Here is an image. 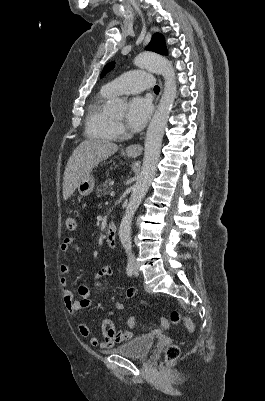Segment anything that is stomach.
<instances>
[{"label":"stomach","mask_w":265,"mask_h":401,"mask_svg":"<svg viewBox=\"0 0 265 401\" xmlns=\"http://www.w3.org/2000/svg\"><path fill=\"white\" fill-rule=\"evenodd\" d=\"M128 156H132V154H128ZM94 186H95V178L93 174L89 172V174H87V176H85V178H83V180H81V182H79L78 184L79 194H81V196H88V194L92 192Z\"/></svg>","instance_id":"stomach-1"}]
</instances>
